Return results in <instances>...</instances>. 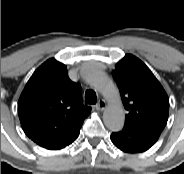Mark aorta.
<instances>
[{
  "label": "aorta",
  "mask_w": 184,
  "mask_h": 174,
  "mask_svg": "<svg viewBox=\"0 0 184 174\" xmlns=\"http://www.w3.org/2000/svg\"><path fill=\"white\" fill-rule=\"evenodd\" d=\"M89 82L109 101V106L103 114L105 126L111 131L121 130L124 125L125 115L117 87L107 75L100 70L91 71Z\"/></svg>",
  "instance_id": "762f6f07"
}]
</instances>
